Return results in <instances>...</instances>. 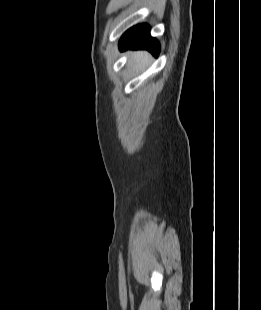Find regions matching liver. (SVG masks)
Instances as JSON below:
<instances>
[{"label": "liver", "instance_id": "1", "mask_svg": "<svg viewBox=\"0 0 261 310\" xmlns=\"http://www.w3.org/2000/svg\"><path fill=\"white\" fill-rule=\"evenodd\" d=\"M149 62L150 56L144 51L133 52L130 58V64L133 65L136 70L145 68Z\"/></svg>", "mask_w": 261, "mask_h": 310}]
</instances>
